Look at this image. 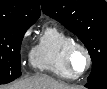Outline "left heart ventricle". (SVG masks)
Listing matches in <instances>:
<instances>
[{
	"instance_id": "obj_1",
	"label": "left heart ventricle",
	"mask_w": 107,
	"mask_h": 89,
	"mask_svg": "<svg viewBox=\"0 0 107 89\" xmlns=\"http://www.w3.org/2000/svg\"><path fill=\"white\" fill-rule=\"evenodd\" d=\"M72 68L76 73L82 72L86 67V58L81 50H76L72 56Z\"/></svg>"
}]
</instances>
